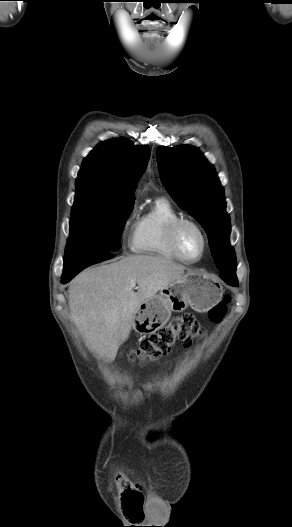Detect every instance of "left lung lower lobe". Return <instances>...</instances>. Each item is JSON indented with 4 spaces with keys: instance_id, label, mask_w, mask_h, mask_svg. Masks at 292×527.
<instances>
[{
    "instance_id": "left-lung-lower-lobe-1",
    "label": "left lung lower lobe",
    "mask_w": 292,
    "mask_h": 527,
    "mask_svg": "<svg viewBox=\"0 0 292 527\" xmlns=\"http://www.w3.org/2000/svg\"><path fill=\"white\" fill-rule=\"evenodd\" d=\"M220 277H221V279H223L229 285H232V286H237L238 285V280H237L236 275L235 276H229V275L221 274Z\"/></svg>"
}]
</instances>
